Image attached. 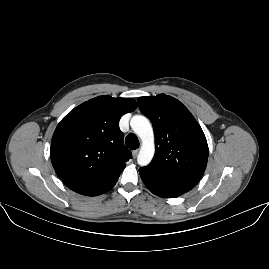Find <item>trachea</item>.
<instances>
[{"mask_svg":"<svg viewBox=\"0 0 269 269\" xmlns=\"http://www.w3.org/2000/svg\"><path fill=\"white\" fill-rule=\"evenodd\" d=\"M125 144L131 150L137 149L139 146L137 136L133 133L128 134L127 137L125 138Z\"/></svg>","mask_w":269,"mask_h":269,"instance_id":"3493384b","label":"trachea"}]
</instances>
